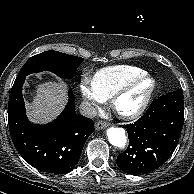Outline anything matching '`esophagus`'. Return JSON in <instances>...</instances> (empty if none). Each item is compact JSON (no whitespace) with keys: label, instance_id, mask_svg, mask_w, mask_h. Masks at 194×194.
Instances as JSON below:
<instances>
[{"label":"esophagus","instance_id":"1","mask_svg":"<svg viewBox=\"0 0 194 194\" xmlns=\"http://www.w3.org/2000/svg\"><path fill=\"white\" fill-rule=\"evenodd\" d=\"M108 126H109V123H108V122H105V121H98V122H96V124H95V127H96V129H98V130L104 129V128L108 127Z\"/></svg>","mask_w":194,"mask_h":194}]
</instances>
